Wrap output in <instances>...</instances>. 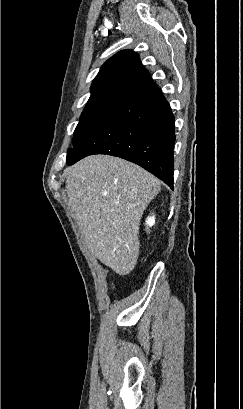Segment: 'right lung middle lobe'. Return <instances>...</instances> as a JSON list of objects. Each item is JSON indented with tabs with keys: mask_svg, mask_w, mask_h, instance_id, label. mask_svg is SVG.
Wrapping results in <instances>:
<instances>
[{
	"mask_svg": "<svg viewBox=\"0 0 243 409\" xmlns=\"http://www.w3.org/2000/svg\"><path fill=\"white\" fill-rule=\"evenodd\" d=\"M122 102V100L114 99L88 102L74 131L73 148L68 150L67 157L79 144L105 123Z\"/></svg>",
	"mask_w": 243,
	"mask_h": 409,
	"instance_id": "dd1d6c3e",
	"label": "right lung middle lobe"
}]
</instances>
